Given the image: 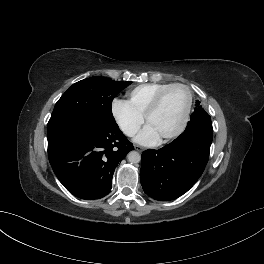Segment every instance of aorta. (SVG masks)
I'll return each mask as SVG.
<instances>
[{
  "instance_id": "obj_1",
  "label": "aorta",
  "mask_w": 264,
  "mask_h": 264,
  "mask_svg": "<svg viewBox=\"0 0 264 264\" xmlns=\"http://www.w3.org/2000/svg\"><path fill=\"white\" fill-rule=\"evenodd\" d=\"M127 158L130 163L135 164L140 162L141 155L136 151H131L129 152Z\"/></svg>"
}]
</instances>
